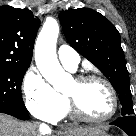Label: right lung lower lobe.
I'll return each mask as SVG.
<instances>
[{"label": "right lung lower lobe", "mask_w": 136, "mask_h": 136, "mask_svg": "<svg viewBox=\"0 0 136 136\" xmlns=\"http://www.w3.org/2000/svg\"><path fill=\"white\" fill-rule=\"evenodd\" d=\"M0 113H5V114H8V115H12V116H14V117H16L18 119H21V120H27L29 118L28 114L24 113V112L2 110V111H0Z\"/></svg>", "instance_id": "obj_1"}]
</instances>
